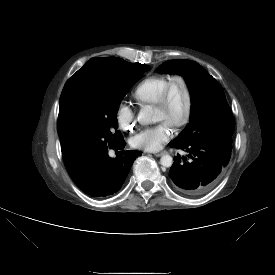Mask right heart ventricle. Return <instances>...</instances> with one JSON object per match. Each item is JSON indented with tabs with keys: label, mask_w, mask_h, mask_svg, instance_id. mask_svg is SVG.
<instances>
[{
	"label": "right heart ventricle",
	"mask_w": 275,
	"mask_h": 275,
	"mask_svg": "<svg viewBox=\"0 0 275 275\" xmlns=\"http://www.w3.org/2000/svg\"><path fill=\"white\" fill-rule=\"evenodd\" d=\"M169 75H153L141 81L133 90V97L139 106L154 105L165 85Z\"/></svg>",
	"instance_id": "1"
}]
</instances>
